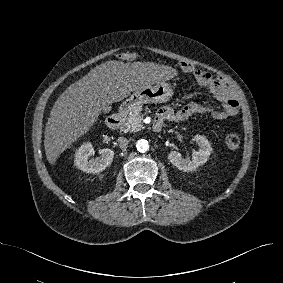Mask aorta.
Returning a JSON list of instances; mask_svg holds the SVG:
<instances>
[{
  "mask_svg": "<svg viewBox=\"0 0 283 283\" xmlns=\"http://www.w3.org/2000/svg\"><path fill=\"white\" fill-rule=\"evenodd\" d=\"M136 148L139 152L141 153H145L149 150V143L147 140L145 139H139L137 142H136Z\"/></svg>",
  "mask_w": 283,
  "mask_h": 283,
  "instance_id": "aorta-1",
  "label": "aorta"
}]
</instances>
